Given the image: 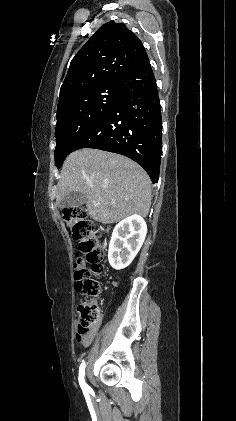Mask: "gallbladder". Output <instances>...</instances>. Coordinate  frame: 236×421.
Wrapping results in <instances>:
<instances>
[{
  "label": "gallbladder",
  "mask_w": 236,
  "mask_h": 421,
  "mask_svg": "<svg viewBox=\"0 0 236 421\" xmlns=\"http://www.w3.org/2000/svg\"><path fill=\"white\" fill-rule=\"evenodd\" d=\"M86 196H84L83 192H79V190H73L67 196H64L60 202H58L59 208H75V206H80V204H85Z\"/></svg>",
  "instance_id": "1"
}]
</instances>
